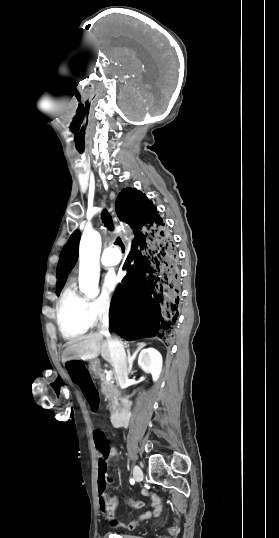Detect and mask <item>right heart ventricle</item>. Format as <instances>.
I'll return each mask as SVG.
<instances>
[{
	"label": "right heart ventricle",
	"instance_id": "right-heart-ventricle-1",
	"mask_svg": "<svg viewBox=\"0 0 279 538\" xmlns=\"http://www.w3.org/2000/svg\"><path fill=\"white\" fill-rule=\"evenodd\" d=\"M89 233L95 231L85 228L83 236ZM90 304L91 299L79 292L74 279H70L56 306L58 328L65 339L80 337L92 328Z\"/></svg>",
	"mask_w": 279,
	"mask_h": 538
}]
</instances>
